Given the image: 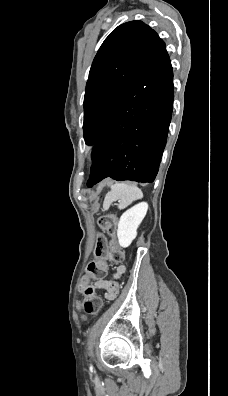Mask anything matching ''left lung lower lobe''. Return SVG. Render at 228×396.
I'll list each match as a JSON object with an SVG mask.
<instances>
[{"instance_id":"1","label":"left lung lower lobe","mask_w":228,"mask_h":396,"mask_svg":"<svg viewBox=\"0 0 228 396\" xmlns=\"http://www.w3.org/2000/svg\"><path fill=\"white\" fill-rule=\"evenodd\" d=\"M174 98L173 72L159 39L139 76L111 111L94 146L88 187L104 178L153 182L166 145Z\"/></svg>"}]
</instances>
